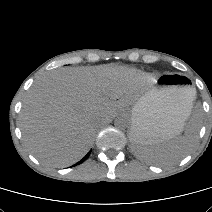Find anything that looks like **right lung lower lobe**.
I'll use <instances>...</instances> for the list:
<instances>
[{
  "label": "right lung lower lobe",
  "instance_id": "98d812e1",
  "mask_svg": "<svg viewBox=\"0 0 212 212\" xmlns=\"http://www.w3.org/2000/svg\"><path fill=\"white\" fill-rule=\"evenodd\" d=\"M90 153H91V152H89L81 161H79V162L76 163L75 165H78V164L84 162V161L88 158V156L90 155ZM75 165H74V166H75Z\"/></svg>",
  "mask_w": 212,
  "mask_h": 212
}]
</instances>
